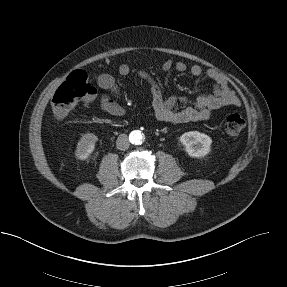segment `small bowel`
Returning a JSON list of instances; mask_svg holds the SVG:
<instances>
[{
    "mask_svg": "<svg viewBox=\"0 0 287 287\" xmlns=\"http://www.w3.org/2000/svg\"><path fill=\"white\" fill-rule=\"evenodd\" d=\"M164 71L175 69L179 72H189L193 76L205 75L213 84L212 94H203L194 100L176 95L165 98L160 84L146 71H138L137 75L145 80L152 95V106L156 119L160 122L171 124H182L208 120L212 113L223 107H238L240 100L229 87L226 78L215 69L204 71L199 65H192L190 68L181 61L174 62L170 59L162 64ZM118 72L121 76H127L131 69L127 64L120 65ZM97 84L107 93L100 99V106L103 112L112 116H122L124 108L112 97L118 94V86L114 77L108 73H101L96 78ZM180 105V108H177Z\"/></svg>",
    "mask_w": 287,
    "mask_h": 287,
    "instance_id": "small-bowel-1",
    "label": "small bowel"
}]
</instances>
